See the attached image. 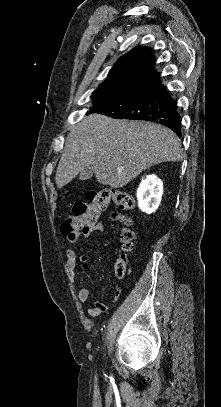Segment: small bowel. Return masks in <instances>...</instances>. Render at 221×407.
<instances>
[{"label":"small bowel","instance_id":"small-bowel-1","mask_svg":"<svg viewBox=\"0 0 221 407\" xmlns=\"http://www.w3.org/2000/svg\"><path fill=\"white\" fill-rule=\"evenodd\" d=\"M104 230L103 226L100 224L99 225V229L97 233H102ZM67 241L69 243H73L74 241L70 238H66ZM65 256H66V262L64 265V270H65V274L69 280V282L72 285L76 284V280H75V270H76V266H77V262L79 260V263L81 265V267L87 268L88 264H89V259L90 257L87 254H83L79 257H77V254L75 253V251L73 249H66L65 250ZM122 293V290L120 287L115 288L114 292H113V296H112V301H116L120 295ZM91 294V290L88 287H82L78 290L77 292V300L79 303H85ZM108 309V305H106L105 303L101 302V301H94L92 307L89 309L88 313L90 316L95 317L101 313L106 312Z\"/></svg>","mask_w":221,"mask_h":407}]
</instances>
